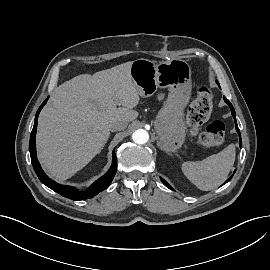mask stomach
Masks as SVG:
<instances>
[{"mask_svg":"<svg viewBox=\"0 0 270 270\" xmlns=\"http://www.w3.org/2000/svg\"><path fill=\"white\" fill-rule=\"evenodd\" d=\"M130 74L140 96L149 97L158 88H168L169 93L159 111L154 126L157 145L166 152H175L185 140L183 110L191 95V68L181 59H171L156 64L148 59L132 61Z\"/></svg>","mask_w":270,"mask_h":270,"instance_id":"1","label":"stomach"}]
</instances>
